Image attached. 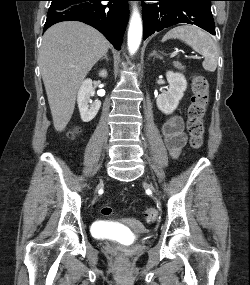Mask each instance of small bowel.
Listing matches in <instances>:
<instances>
[{
	"instance_id": "obj_1",
	"label": "small bowel",
	"mask_w": 250,
	"mask_h": 285,
	"mask_svg": "<svg viewBox=\"0 0 250 285\" xmlns=\"http://www.w3.org/2000/svg\"><path fill=\"white\" fill-rule=\"evenodd\" d=\"M162 132L171 155L177 157L186 144L182 118L177 115L169 117L163 124Z\"/></svg>"
}]
</instances>
